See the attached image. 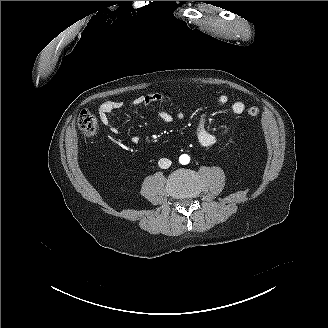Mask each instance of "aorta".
I'll use <instances>...</instances> for the list:
<instances>
[{"label": "aorta", "instance_id": "aorta-1", "mask_svg": "<svg viewBox=\"0 0 328 328\" xmlns=\"http://www.w3.org/2000/svg\"><path fill=\"white\" fill-rule=\"evenodd\" d=\"M179 162L182 164V165H186L190 162V157L187 155V154H182L180 157H179Z\"/></svg>", "mask_w": 328, "mask_h": 328}]
</instances>
